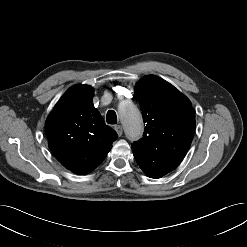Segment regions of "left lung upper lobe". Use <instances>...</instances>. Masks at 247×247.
<instances>
[{
	"label": "left lung upper lobe",
	"mask_w": 247,
	"mask_h": 247,
	"mask_svg": "<svg viewBox=\"0 0 247 247\" xmlns=\"http://www.w3.org/2000/svg\"><path fill=\"white\" fill-rule=\"evenodd\" d=\"M145 133L132 144L133 155L144 170L176 168L186 155L195 131V111L189 99L162 78L149 75L135 87Z\"/></svg>",
	"instance_id": "1"
}]
</instances>
